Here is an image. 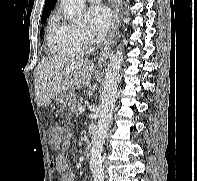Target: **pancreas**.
I'll use <instances>...</instances> for the list:
<instances>
[{
    "instance_id": "cf45deb5",
    "label": "pancreas",
    "mask_w": 197,
    "mask_h": 181,
    "mask_svg": "<svg viewBox=\"0 0 197 181\" xmlns=\"http://www.w3.org/2000/svg\"><path fill=\"white\" fill-rule=\"evenodd\" d=\"M83 104V99L82 98H78V99H74L70 105V111L72 113H77L79 107H81Z\"/></svg>"
}]
</instances>
